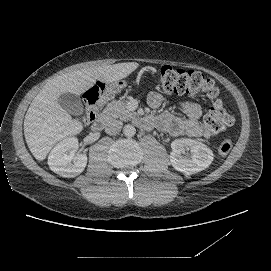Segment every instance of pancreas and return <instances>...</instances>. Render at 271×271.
<instances>
[{
    "label": "pancreas",
    "instance_id": "1",
    "mask_svg": "<svg viewBox=\"0 0 271 271\" xmlns=\"http://www.w3.org/2000/svg\"><path fill=\"white\" fill-rule=\"evenodd\" d=\"M105 112L109 116L120 119L121 121H128L132 116L136 115L134 112H129L126 109L125 103L122 101H113L109 103Z\"/></svg>",
    "mask_w": 271,
    "mask_h": 271
}]
</instances>
